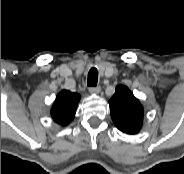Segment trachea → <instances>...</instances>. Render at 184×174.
I'll list each match as a JSON object with an SVG mask.
<instances>
[{"label": "trachea", "mask_w": 184, "mask_h": 174, "mask_svg": "<svg viewBox=\"0 0 184 174\" xmlns=\"http://www.w3.org/2000/svg\"><path fill=\"white\" fill-rule=\"evenodd\" d=\"M98 82V70L96 68H91L88 73L87 85L90 87H95Z\"/></svg>", "instance_id": "1"}]
</instances>
